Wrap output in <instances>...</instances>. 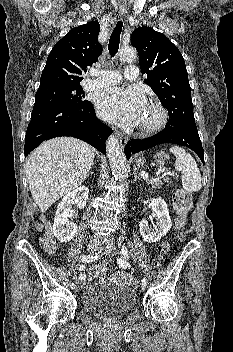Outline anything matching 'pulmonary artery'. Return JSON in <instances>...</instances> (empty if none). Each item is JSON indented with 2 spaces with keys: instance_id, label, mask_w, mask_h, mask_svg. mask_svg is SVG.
<instances>
[{
  "instance_id": "e3ab8cb5",
  "label": "pulmonary artery",
  "mask_w": 233,
  "mask_h": 352,
  "mask_svg": "<svg viewBox=\"0 0 233 352\" xmlns=\"http://www.w3.org/2000/svg\"><path fill=\"white\" fill-rule=\"evenodd\" d=\"M95 79L89 80L84 88L88 91L109 86L121 80L122 76L118 71H95L93 73ZM124 77L128 80H135L138 77V68L134 65H129L124 70Z\"/></svg>"
}]
</instances>
